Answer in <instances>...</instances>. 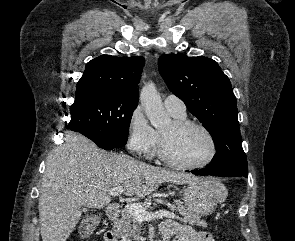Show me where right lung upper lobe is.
Masks as SVG:
<instances>
[{
	"mask_svg": "<svg viewBox=\"0 0 295 241\" xmlns=\"http://www.w3.org/2000/svg\"><path fill=\"white\" fill-rule=\"evenodd\" d=\"M145 59L142 56L116 57L102 55L86 65L77 83L76 99L93 92L138 102L140 81Z\"/></svg>",
	"mask_w": 295,
	"mask_h": 241,
	"instance_id": "cb5924a9",
	"label": "right lung upper lobe"
}]
</instances>
